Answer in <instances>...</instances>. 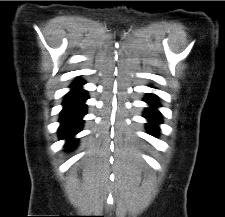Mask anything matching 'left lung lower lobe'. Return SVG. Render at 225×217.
Listing matches in <instances>:
<instances>
[{
	"mask_svg": "<svg viewBox=\"0 0 225 217\" xmlns=\"http://www.w3.org/2000/svg\"><path fill=\"white\" fill-rule=\"evenodd\" d=\"M145 102L151 105L150 108L145 110L144 117L149 121L147 124V128L150 130L151 133L155 134L159 130L158 124L161 123V117L159 111L155 108L159 106L157 102V96L154 94H148L145 97Z\"/></svg>",
	"mask_w": 225,
	"mask_h": 217,
	"instance_id": "obj_1",
	"label": "left lung lower lobe"
}]
</instances>
